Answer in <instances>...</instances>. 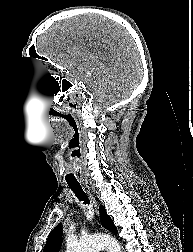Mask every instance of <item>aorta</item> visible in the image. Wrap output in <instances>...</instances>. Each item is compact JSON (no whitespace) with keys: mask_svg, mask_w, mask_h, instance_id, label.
Here are the masks:
<instances>
[{"mask_svg":"<svg viewBox=\"0 0 193 252\" xmlns=\"http://www.w3.org/2000/svg\"><path fill=\"white\" fill-rule=\"evenodd\" d=\"M105 247L109 252H121L118 241L105 235H93L79 241L68 240L66 252H99Z\"/></svg>","mask_w":193,"mask_h":252,"instance_id":"aorta-1","label":"aorta"}]
</instances>
